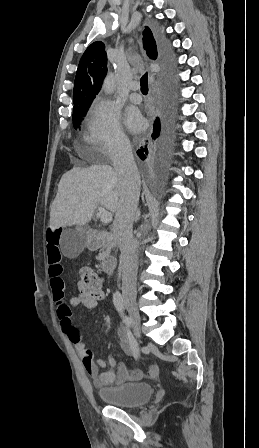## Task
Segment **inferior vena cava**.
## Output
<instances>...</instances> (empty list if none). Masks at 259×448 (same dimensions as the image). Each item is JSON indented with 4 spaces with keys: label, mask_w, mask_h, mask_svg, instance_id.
<instances>
[{
    "label": "inferior vena cava",
    "mask_w": 259,
    "mask_h": 448,
    "mask_svg": "<svg viewBox=\"0 0 259 448\" xmlns=\"http://www.w3.org/2000/svg\"><path fill=\"white\" fill-rule=\"evenodd\" d=\"M112 162L118 176L120 196L113 232L121 252L122 296L124 302H135L138 252L133 240L132 224L135 220L140 196V174L134 162L128 138H118L112 150Z\"/></svg>",
    "instance_id": "inferior-vena-cava-1"
}]
</instances>
